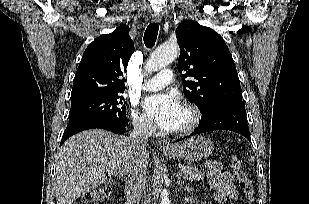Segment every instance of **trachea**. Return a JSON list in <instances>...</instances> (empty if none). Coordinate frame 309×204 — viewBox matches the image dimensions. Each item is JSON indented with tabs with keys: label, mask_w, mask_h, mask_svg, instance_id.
<instances>
[{
	"label": "trachea",
	"mask_w": 309,
	"mask_h": 204,
	"mask_svg": "<svg viewBox=\"0 0 309 204\" xmlns=\"http://www.w3.org/2000/svg\"><path fill=\"white\" fill-rule=\"evenodd\" d=\"M159 26L157 23L149 24L144 33V43L146 47L152 48L156 42Z\"/></svg>",
	"instance_id": "3493384b"
}]
</instances>
